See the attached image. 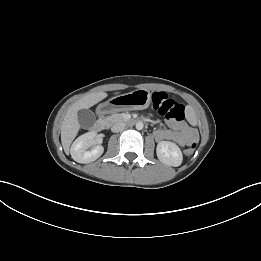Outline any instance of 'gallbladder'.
Segmentation results:
<instances>
[{
    "label": "gallbladder",
    "mask_w": 261,
    "mask_h": 261,
    "mask_svg": "<svg viewBox=\"0 0 261 261\" xmlns=\"http://www.w3.org/2000/svg\"><path fill=\"white\" fill-rule=\"evenodd\" d=\"M79 124L82 128H91L95 121V114L89 109H81L77 113Z\"/></svg>",
    "instance_id": "1"
}]
</instances>
